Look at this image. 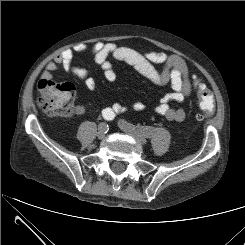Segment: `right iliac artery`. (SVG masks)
Listing matches in <instances>:
<instances>
[{"instance_id": "right-iliac-artery-1", "label": "right iliac artery", "mask_w": 245, "mask_h": 245, "mask_svg": "<svg viewBox=\"0 0 245 245\" xmlns=\"http://www.w3.org/2000/svg\"><path fill=\"white\" fill-rule=\"evenodd\" d=\"M102 116L104 117V119L106 120H112V118H110L108 116V113L107 112H103L102 111ZM99 126H102V129L105 131V133L108 131V125H106L105 123H100Z\"/></svg>"}]
</instances>
